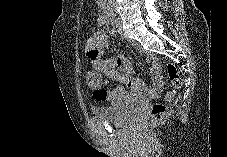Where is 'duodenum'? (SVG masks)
I'll return each instance as SVG.
<instances>
[{"label": "duodenum", "mask_w": 227, "mask_h": 157, "mask_svg": "<svg viewBox=\"0 0 227 157\" xmlns=\"http://www.w3.org/2000/svg\"><path fill=\"white\" fill-rule=\"evenodd\" d=\"M102 20L104 22H107V23H114L115 22V17H114V15H107V16H103L102 17ZM96 29L97 30H100L101 29V26L100 25H97L96 26Z\"/></svg>", "instance_id": "1"}]
</instances>
